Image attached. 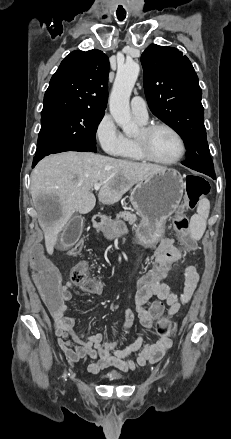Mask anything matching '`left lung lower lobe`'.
Instances as JSON below:
<instances>
[{
	"instance_id": "obj_1",
	"label": "left lung lower lobe",
	"mask_w": 231,
	"mask_h": 439,
	"mask_svg": "<svg viewBox=\"0 0 231 439\" xmlns=\"http://www.w3.org/2000/svg\"><path fill=\"white\" fill-rule=\"evenodd\" d=\"M209 176L212 177L213 179L216 178L215 173L214 174H210Z\"/></svg>"
}]
</instances>
